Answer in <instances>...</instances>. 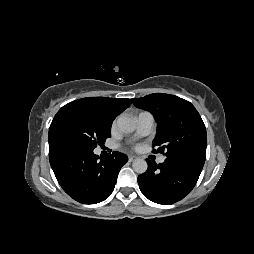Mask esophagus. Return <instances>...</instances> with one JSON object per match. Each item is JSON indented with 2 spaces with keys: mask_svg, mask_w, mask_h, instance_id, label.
I'll list each match as a JSON object with an SVG mask.
<instances>
[{
  "mask_svg": "<svg viewBox=\"0 0 254 254\" xmlns=\"http://www.w3.org/2000/svg\"><path fill=\"white\" fill-rule=\"evenodd\" d=\"M135 159H136V156H133V155H129V156H128L129 162H132V161H134Z\"/></svg>",
  "mask_w": 254,
  "mask_h": 254,
  "instance_id": "1",
  "label": "esophagus"
}]
</instances>
